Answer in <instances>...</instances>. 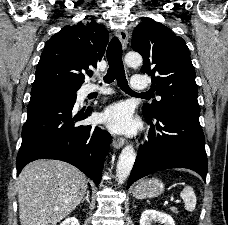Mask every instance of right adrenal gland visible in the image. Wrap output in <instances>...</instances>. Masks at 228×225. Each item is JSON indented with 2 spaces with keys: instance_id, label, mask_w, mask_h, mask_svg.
Returning a JSON list of instances; mask_svg holds the SVG:
<instances>
[{
  "instance_id": "2a0ac1e0",
  "label": "right adrenal gland",
  "mask_w": 228,
  "mask_h": 225,
  "mask_svg": "<svg viewBox=\"0 0 228 225\" xmlns=\"http://www.w3.org/2000/svg\"><path fill=\"white\" fill-rule=\"evenodd\" d=\"M84 201H87V203H90V201H89V191H86V197H84V199H82V203H84Z\"/></svg>"
}]
</instances>
